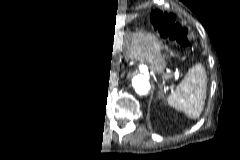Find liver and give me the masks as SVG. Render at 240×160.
I'll use <instances>...</instances> for the list:
<instances>
[{"label":"liver","instance_id":"obj_1","mask_svg":"<svg viewBox=\"0 0 240 160\" xmlns=\"http://www.w3.org/2000/svg\"><path fill=\"white\" fill-rule=\"evenodd\" d=\"M137 17L136 14L131 15H117L115 17V22L113 25L114 32L119 31L121 28H123L126 24L130 23L132 20H134Z\"/></svg>","mask_w":240,"mask_h":160}]
</instances>
